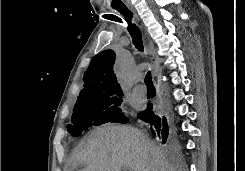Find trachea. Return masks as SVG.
<instances>
[{
    "mask_svg": "<svg viewBox=\"0 0 245 171\" xmlns=\"http://www.w3.org/2000/svg\"><path fill=\"white\" fill-rule=\"evenodd\" d=\"M115 1L116 2L112 3V7L124 17V20L126 21V23H128V30L132 37L133 44L139 51H142L143 43H142L141 31L135 24L131 22L132 16H133L131 11L127 8V6L121 0H115ZM110 19L115 22L124 23V21H122V19L119 17H114ZM144 82L146 86H153L150 71L146 74Z\"/></svg>",
    "mask_w": 245,
    "mask_h": 171,
    "instance_id": "obj_1",
    "label": "trachea"
}]
</instances>
